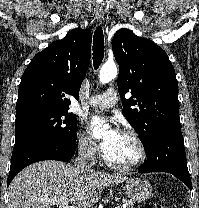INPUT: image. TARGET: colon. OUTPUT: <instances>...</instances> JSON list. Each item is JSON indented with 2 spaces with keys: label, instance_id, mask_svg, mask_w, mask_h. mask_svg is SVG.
Segmentation results:
<instances>
[{
  "label": "colon",
  "instance_id": "1",
  "mask_svg": "<svg viewBox=\"0 0 199 208\" xmlns=\"http://www.w3.org/2000/svg\"><path fill=\"white\" fill-rule=\"evenodd\" d=\"M154 208H168V207L165 206L164 204H156Z\"/></svg>",
  "mask_w": 199,
  "mask_h": 208
}]
</instances>
